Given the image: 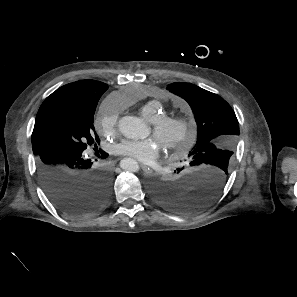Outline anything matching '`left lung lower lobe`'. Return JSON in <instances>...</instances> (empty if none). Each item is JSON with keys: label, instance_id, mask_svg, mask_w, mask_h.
Returning <instances> with one entry per match:
<instances>
[{"label": "left lung lower lobe", "instance_id": "obj_1", "mask_svg": "<svg viewBox=\"0 0 297 297\" xmlns=\"http://www.w3.org/2000/svg\"><path fill=\"white\" fill-rule=\"evenodd\" d=\"M228 174V169L218 162L205 160L195 164L193 160L190 167L173 181L151 183L150 191L158 205L177 213H193L205 208L218 196Z\"/></svg>", "mask_w": 297, "mask_h": 297}]
</instances>
